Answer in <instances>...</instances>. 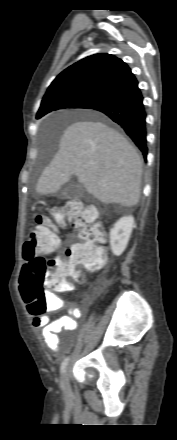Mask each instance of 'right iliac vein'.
Wrapping results in <instances>:
<instances>
[{
  "label": "right iliac vein",
  "instance_id": "right-iliac-vein-1",
  "mask_svg": "<svg viewBox=\"0 0 177 440\" xmlns=\"http://www.w3.org/2000/svg\"><path fill=\"white\" fill-rule=\"evenodd\" d=\"M69 372H70L69 367H67L65 370V374H64V382H65V387L67 390L69 389V376H70Z\"/></svg>",
  "mask_w": 177,
  "mask_h": 440
}]
</instances>
